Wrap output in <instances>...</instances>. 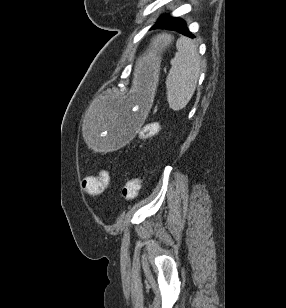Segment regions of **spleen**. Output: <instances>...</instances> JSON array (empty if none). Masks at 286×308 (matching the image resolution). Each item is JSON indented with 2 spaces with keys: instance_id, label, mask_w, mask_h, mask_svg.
Segmentation results:
<instances>
[{
  "instance_id": "spleen-1",
  "label": "spleen",
  "mask_w": 286,
  "mask_h": 308,
  "mask_svg": "<svg viewBox=\"0 0 286 308\" xmlns=\"http://www.w3.org/2000/svg\"><path fill=\"white\" fill-rule=\"evenodd\" d=\"M176 47L177 52L171 60L172 67L166 79V88L169 107L179 111L186 107L195 92L201 59L197 46L189 38L181 37Z\"/></svg>"
}]
</instances>
